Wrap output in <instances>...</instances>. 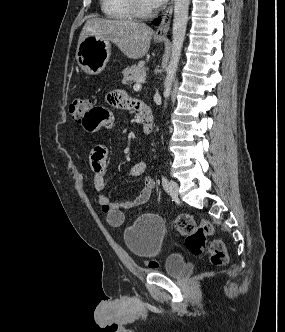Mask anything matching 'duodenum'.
I'll list each match as a JSON object with an SVG mask.
<instances>
[{"mask_svg":"<svg viewBox=\"0 0 285 332\" xmlns=\"http://www.w3.org/2000/svg\"><path fill=\"white\" fill-rule=\"evenodd\" d=\"M140 120L143 131L146 134L152 133L154 127V118L150 109L144 104L140 105Z\"/></svg>","mask_w":285,"mask_h":332,"instance_id":"410a0bca","label":"duodenum"}]
</instances>
